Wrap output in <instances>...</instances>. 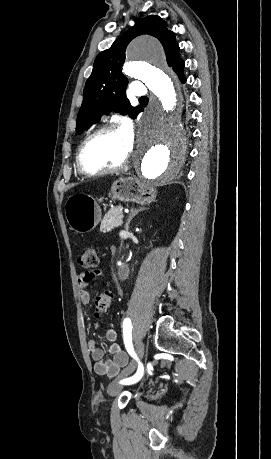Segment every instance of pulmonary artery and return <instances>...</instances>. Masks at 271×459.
I'll use <instances>...</instances> for the list:
<instances>
[{"instance_id": "obj_1", "label": "pulmonary artery", "mask_w": 271, "mask_h": 459, "mask_svg": "<svg viewBox=\"0 0 271 459\" xmlns=\"http://www.w3.org/2000/svg\"><path fill=\"white\" fill-rule=\"evenodd\" d=\"M134 95L136 98H145L146 97V90L144 89V84L141 81H138L135 84L134 88Z\"/></svg>"}]
</instances>
